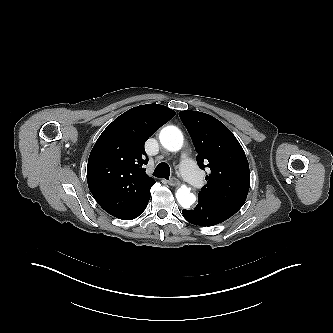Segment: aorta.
I'll return each instance as SVG.
<instances>
[{
  "label": "aorta",
  "mask_w": 333,
  "mask_h": 333,
  "mask_svg": "<svg viewBox=\"0 0 333 333\" xmlns=\"http://www.w3.org/2000/svg\"><path fill=\"white\" fill-rule=\"evenodd\" d=\"M159 140L162 146L171 152L179 151L184 142L181 130L172 125L166 126L161 130ZM175 195L178 203L185 209L190 208L196 201V196L186 185H181Z\"/></svg>",
  "instance_id": "obj_1"
}]
</instances>
